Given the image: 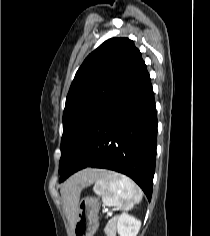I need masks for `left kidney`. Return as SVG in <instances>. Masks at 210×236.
<instances>
[{
  "mask_svg": "<svg viewBox=\"0 0 210 236\" xmlns=\"http://www.w3.org/2000/svg\"><path fill=\"white\" fill-rule=\"evenodd\" d=\"M140 227L141 221L127 213H122L117 218V232L119 236H137Z\"/></svg>",
  "mask_w": 210,
  "mask_h": 236,
  "instance_id": "left-kidney-1",
  "label": "left kidney"
}]
</instances>
